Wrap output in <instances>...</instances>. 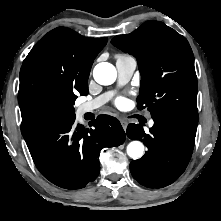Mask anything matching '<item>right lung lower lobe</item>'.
<instances>
[{"instance_id": "obj_1", "label": "right lung lower lobe", "mask_w": 221, "mask_h": 221, "mask_svg": "<svg viewBox=\"0 0 221 221\" xmlns=\"http://www.w3.org/2000/svg\"><path fill=\"white\" fill-rule=\"evenodd\" d=\"M75 115L44 120L23 134L40 173L65 189H80L100 172L103 148L119 146L126 139L118 119L99 115L90 128L74 125Z\"/></svg>"}]
</instances>
